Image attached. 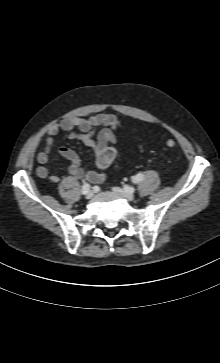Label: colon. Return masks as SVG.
Listing matches in <instances>:
<instances>
[{"mask_svg":"<svg viewBox=\"0 0 220 363\" xmlns=\"http://www.w3.org/2000/svg\"><path fill=\"white\" fill-rule=\"evenodd\" d=\"M167 148L174 149L176 147V142L172 138H168L165 141ZM116 150L113 147H108L104 154V164L109 165L116 157Z\"/></svg>","mask_w":220,"mask_h":363,"instance_id":"obj_1","label":"colon"}]
</instances>
